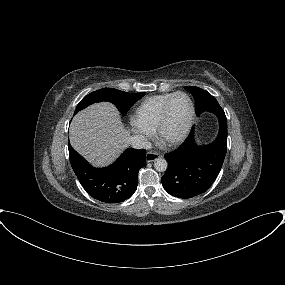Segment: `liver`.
<instances>
[{
    "label": "liver",
    "mask_w": 285,
    "mask_h": 285,
    "mask_svg": "<svg viewBox=\"0 0 285 285\" xmlns=\"http://www.w3.org/2000/svg\"><path fill=\"white\" fill-rule=\"evenodd\" d=\"M69 135L72 147L96 167L112 163L130 140L119 112L106 102L93 104L77 113Z\"/></svg>",
    "instance_id": "6515ba94"
}]
</instances>
